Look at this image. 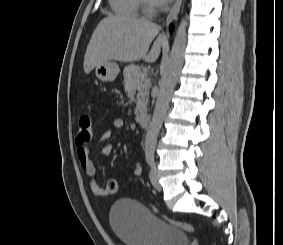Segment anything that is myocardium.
<instances>
[{
    "label": "myocardium",
    "mask_w": 283,
    "mask_h": 245,
    "mask_svg": "<svg viewBox=\"0 0 283 245\" xmlns=\"http://www.w3.org/2000/svg\"><path fill=\"white\" fill-rule=\"evenodd\" d=\"M141 1H142V4H143L145 10L148 13H151L153 11V3L151 2V0H141Z\"/></svg>",
    "instance_id": "f54148a6"
}]
</instances>
